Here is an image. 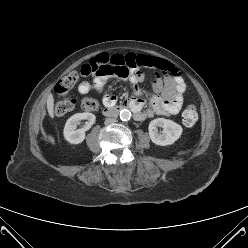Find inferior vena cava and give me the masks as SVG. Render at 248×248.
<instances>
[{
  "mask_svg": "<svg viewBox=\"0 0 248 248\" xmlns=\"http://www.w3.org/2000/svg\"><path fill=\"white\" fill-rule=\"evenodd\" d=\"M116 122V119L115 118H107L106 120H105V124L106 125H110V124H113V123H115Z\"/></svg>",
  "mask_w": 248,
  "mask_h": 248,
  "instance_id": "inferior-vena-cava-1",
  "label": "inferior vena cava"
}]
</instances>
